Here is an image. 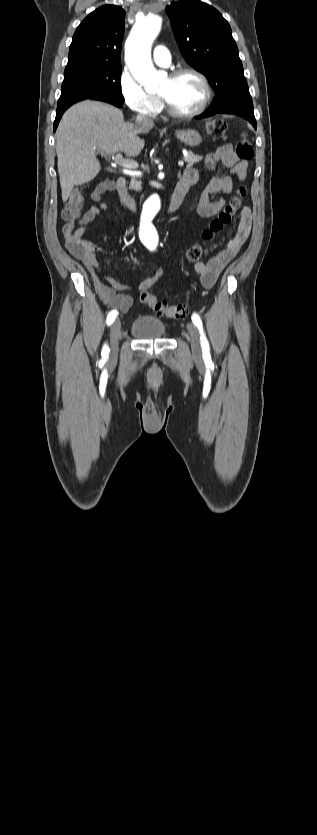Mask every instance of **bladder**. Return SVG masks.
I'll use <instances>...</instances> for the list:
<instances>
[{
  "label": "bladder",
  "mask_w": 317,
  "mask_h": 835,
  "mask_svg": "<svg viewBox=\"0 0 317 835\" xmlns=\"http://www.w3.org/2000/svg\"><path fill=\"white\" fill-rule=\"evenodd\" d=\"M166 326L154 316H139L131 325V333L139 339H161L166 335Z\"/></svg>",
  "instance_id": "31cf9c89"
}]
</instances>
